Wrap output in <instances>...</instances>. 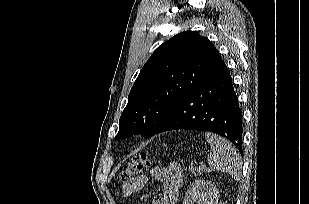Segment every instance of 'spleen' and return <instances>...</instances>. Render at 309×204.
Returning a JSON list of instances; mask_svg holds the SVG:
<instances>
[{"mask_svg":"<svg viewBox=\"0 0 309 204\" xmlns=\"http://www.w3.org/2000/svg\"><path fill=\"white\" fill-rule=\"evenodd\" d=\"M211 151L207 157L208 165L213 171L229 173L235 180L241 177V157L236 148L226 139L213 134L205 133Z\"/></svg>","mask_w":309,"mask_h":204,"instance_id":"spleen-1","label":"spleen"}]
</instances>
